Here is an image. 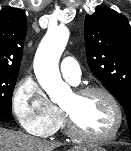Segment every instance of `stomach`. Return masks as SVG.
I'll use <instances>...</instances> for the list:
<instances>
[{"label":"stomach","instance_id":"stomach-1","mask_svg":"<svg viewBox=\"0 0 131 151\" xmlns=\"http://www.w3.org/2000/svg\"><path fill=\"white\" fill-rule=\"evenodd\" d=\"M81 151H107V150L101 146L95 145V146L86 147L84 148V150Z\"/></svg>","mask_w":131,"mask_h":151}]
</instances>
